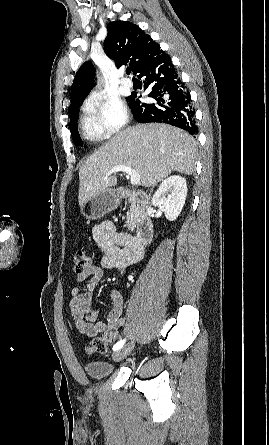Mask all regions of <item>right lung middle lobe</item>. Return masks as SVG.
<instances>
[{"label": "right lung middle lobe", "instance_id": "1", "mask_svg": "<svg viewBox=\"0 0 269 445\" xmlns=\"http://www.w3.org/2000/svg\"><path fill=\"white\" fill-rule=\"evenodd\" d=\"M129 100V98H128ZM82 103H78L70 108V130L71 135L73 137L74 143L76 146H82V140L79 136L78 128H77V117H78V110Z\"/></svg>", "mask_w": 269, "mask_h": 445}]
</instances>
